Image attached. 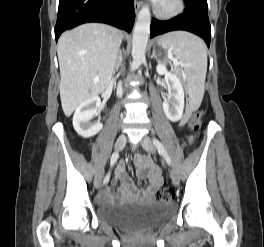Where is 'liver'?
<instances>
[{"label":"liver","instance_id":"1","mask_svg":"<svg viewBox=\"0 0 264 247\" xmlns=\"http://www.w3.org/2000/svg\"><path fill=\"white\" fill-rule=\"evenodd\" d=\"M121 41L120 30L99 23L83 24L61 35L57 44L59 88L66 116L107 88Z\"/></svg>","mask_w":264,"mask_h":247}]
</instances>
